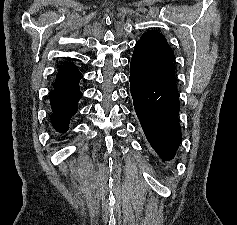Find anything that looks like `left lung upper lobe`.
<instances>
[{"label":"left lung upper lobe","mask_w":237,"mask_h":225,"mask_svg":"<svg viewBox=\"0 0 237 225\" xmlns=\"http://www.w3.org/2000/svg\"><path fill=\"white\" fill-rule=\"evenodd\" d=\"M174 60L166 38L159 32L149 31L134 47L131 73L150 86L176 85Z\"/></svg>","instance_id":"obj_1"}]
</instances>
